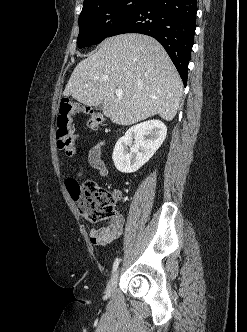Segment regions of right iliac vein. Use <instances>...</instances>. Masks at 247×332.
<instances>
[{
    "mask_svg": "<svg viewBox=\"0 0 247 332\" xmlns=\"http://www.w3.org/2000/svg\"><path fill=\"white\" fill-rule=\"evenodd\" d=\"M118 276H119V271H116L114 273V275L111 277L110 281L108 282L107 287H106L107 295H111L114 292V290L117 286Z\"/></svg>",
    "mask_w": 247,
    "mask_h": 332,
    "instance_id": "right-iliac-vein-1",
    "label": "right iliac vein"
}]
</instances>
